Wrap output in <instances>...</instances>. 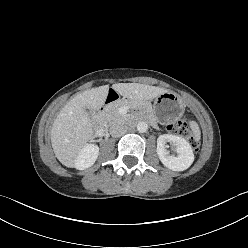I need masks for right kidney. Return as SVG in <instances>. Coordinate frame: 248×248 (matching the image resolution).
Returning a JSON list of instances; mask_svg holds the SVG:
<instances>
[{"label": "right kidney", "instance_id": "right-kidney-1", "mask_svg": "<svg viewBox=\"0 0 248 248\" xmlns=\"http://www.w3.org/2000/svg\"><path fill=\"white\" fill-rule=\"evenodd\" d=\"M98 154L99 147L97 145H85L75 162V168L78 170H84L91 167L95 163Z\"/></svg>", "mask_w": 248, "mask_h": 248}]
</instances>
